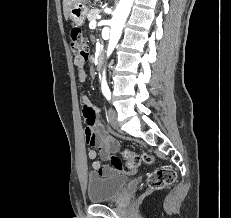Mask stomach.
I'll list each match as a JSON object with an SVG mask.
<instances>
[{"mask_svg": "<svg viewBox=\"0 0 231 218\" xmlns=\"http://www.w3.org/2000/svg\"><path fill=\"white\" fill-rule=\"evenodd\" d=\"M87 13L88 8L83 2H76L69 11V18L75 25L81 26L84 24Z\"/></svg>", "mask_w": 231, "mask_h": 218, "instance_id": "obj_1", "label": "stomach"}]
</instances>
